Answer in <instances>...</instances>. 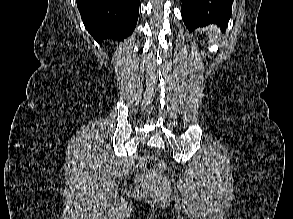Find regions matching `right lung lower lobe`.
<instances>
[{"label": "right lung lower lobe", "instance_id": "obj_1", "mask_svg": "<svg viewBox=\"0 0 293 219\" xmlns=\"http://www.w3.org/2000/svg\"><path fill=\"white\" fill-rule=\"evenodd\" d=\"M88 32L103 39L124 40L133 32L139 14V0H76Z\"/></svg>", "mask_w": 293, "mask_h": 219}]
</instances>
